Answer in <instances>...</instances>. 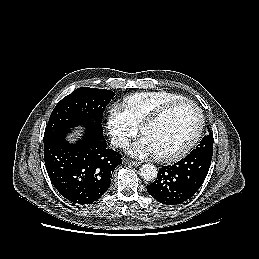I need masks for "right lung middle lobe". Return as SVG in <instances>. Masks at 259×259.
<instances>
[{"label":"right lung middle lobe","instance_id":"right-lung-middle-lobe-1","mask_svg":"<svg viewBox=\"0 0 259 259\" xmlns=\"http://www.w3.org/2000/svg\"><path fill=\"white\" fill-rule=\"evenodd\" d=\"M115 93L106 89L81 87L60 100L53 109L44 132V141L78 125L103 134L102 118Z\"/></svg>","mask_w":259,"mask_h":259}]
</instances>
